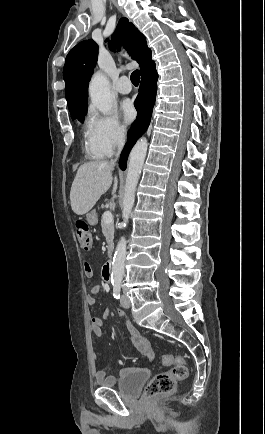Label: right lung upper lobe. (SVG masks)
Instances as JSON below:
<instances>
[{"label":"right lung upper lobe","instance_id":"cb5924a9","mask_svg":"<svg viewBox=\"0 0 265 434\" xmlns=\"http://www.w3.org/2000/svg\"><path fill=\"white\" fill-rule=\"evenodd\" d=\"M117 42H123L127 46L130 56L140 66L151 58V50L147 47L144 35L127 18L119 21L115 36L109 42L110 49L114 51L118 48ZM97 48L92 40L82 41L67 55L63 70L67 104L87 100L88 82L97 62Z\"/></svg>","mask_w":265,"mask_h":434}]
</instances>
